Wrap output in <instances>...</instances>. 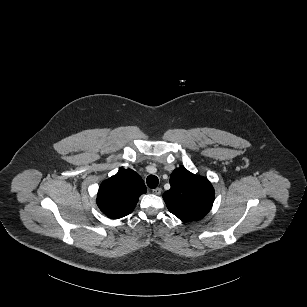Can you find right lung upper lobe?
I'll return each instance as SVG.
<instances>
[{"label":"right lung upper lobe","instance_id":"obj_1","mask_svg":"<svg viewBox=\"0 0 307 307\" xmlns=\"http://www.w3.org/2000/svg\"><path fill=\"white\" fill-rule=\"evenodd\" d=\"M146 193L142 178L133 170L119 171L100 185L97 205L112 219L122 218L135 208L139 196Z\"/></svg>","mask_w":307,"mask_h":307}]
</instances>
